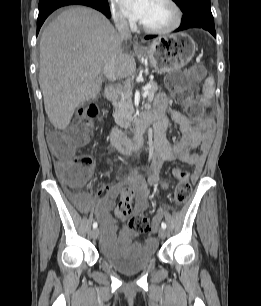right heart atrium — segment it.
I'll use <instances>...</instances> for the list:
<instances>
[{
  "label": "right heart atrium",
  "instance_id": "1",
  "mask_svg": "<svg viewBox=\"0 0 261 306\" xmlns=\"http://www.w3.org/2000/svg\"><path fill=\"white\" fill-rule=\"evenodd\" d=\"M111 6H112V11H113V16L116 21V23L119 26H127L128 25V20L126 17L120 12L118 7L116 6L115 2L111 0Z\"/></svg>",
  "mask_w": 261,
  "mask_h": 306
}]
</instances>
